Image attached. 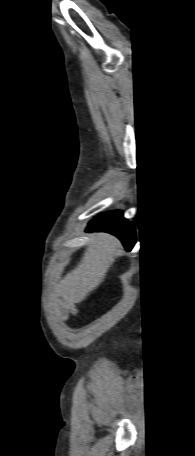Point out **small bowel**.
Masks as SVG:
<instances>
[{
  "label": "small bowel",
  "instance_id": "obj_1",
  "mask_svg": "<svg viewBox=\"0 0 195 456\" xmlns=\"http://www.w3.org/2000/svg\"><path fill=\"white\" fill-rule=\"evenodd\" d=\"M72 308L70 305H63V307L58 311V315L61 318H66L68 314L71 312Z\"/></svg>",
  "mask_w": 195,
  "mask_h": 456
}]
</instances>
